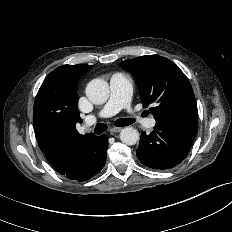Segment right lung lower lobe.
<instances>
[{"label":"right lung lower lobe","mask_w":232,"mask_h":232,"mask_svg":"<svg viewBox=\"0 0 232 232\" xmlns=\"http://www.w3.org/2000/svg\"><path fill=\"white\" fill-rule=\"evenodd\" d=\"M107 148L108 139L106 135L90 138L76 147L70 166L60 173L71 180H89L104 167Z\"/></svg>","instance_id":"98d812e1"}]
</instances>
